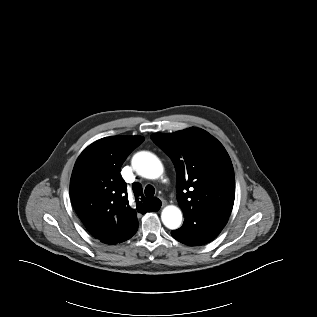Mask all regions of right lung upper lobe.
I'll use <instances>...</instances> for the list:
<instances>
[{
  "label": "right lung upper lobe",
  "instance_id": "cb5924a9",
  "mask_svg": "<svg viewBox=\"0 0 317 317\" xmlns=\"http://www.w3.org/2000/svg\"><path fill=\"white\" fill-rule=\"evenodd\" d=\"M140 136L97 140L78 157L70 180L73 207L87 230L109 245L122 243L138 229L137 214L154 212L158 198H145L139 183L133 201L120 170L127 156L143 142Z\"/></svg>",
  "mask_w": 317,
  "mask_h": 317
}]
</instances>
